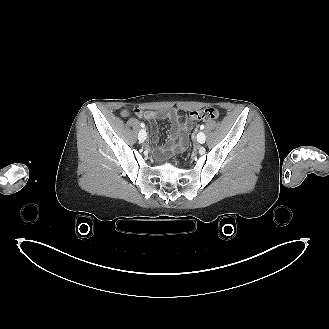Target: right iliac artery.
Here are the masks:
<instances>
[{
    "label": "right iliac artery",
    "instance_id": "obj_1",
    "mask_svg": "<svg viewBox=\"0 0 329 329\" xmlns=\"http://www.w3.org/2000/svg\"><path fill=\"white\" fill-rule=\"evenodd\" d=\"M140 126H141L142 128H144V127H145V124H144V123H141Z\"/></svg>",
    "mask_w": 329,
    "mask_h": 329
}]
</instances>
